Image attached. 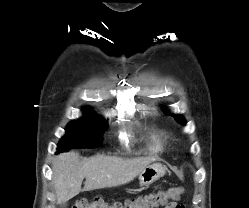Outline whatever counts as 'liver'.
<instances>
[{
    "mask_svg": "<svg viewBox=\"0 0 249 208\" xmlns=\"http://www.w3.org/2000/svg\"><path fill=\"white\" fill-rule=\"evenodd\" d=\"M156 160V157L123 159L105 155L80 160L79 154L74 151L60 154L52 165V182L57 202L62 204L78 195L84 178L85 191L116 187L132 181Z\"/></svg>",
    "mask_w": 249,
    "mask_h": 208,
    "instance_id": "liver-1",
    "label": "liver"
}]
</instances>
